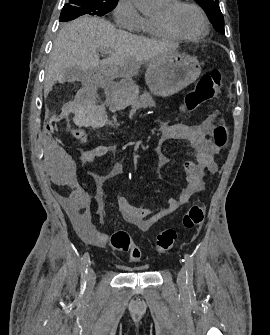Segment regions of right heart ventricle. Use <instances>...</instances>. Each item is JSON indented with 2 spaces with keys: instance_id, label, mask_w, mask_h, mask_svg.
Here are the masks:
<instances>
[{
  "instance_id": "obj_1",
  "label": "right heart ventricle",
  "mask_w": 270,
  "mask_h": 335,
  "mask_svg": "<svg viewBox=\"0 0 270 335\" xmlns=\"http://www.w3.org/2000/svg\"><path fill=\"white\" fill-rule=\"evenodd\" d=\"M177 1L169 2V3H164L161 2V5L164 7H168L175 3ZM141 32L144 34L153 37V38H159V39H169L172 38L168 34H166L156 23L155 18H149V17H142L139 29Z\"/></svg>"
}]
</instances>
